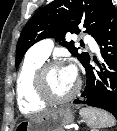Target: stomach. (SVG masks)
Instances as JSON below:
<instances>
[{
    "instance_id": "obj_1",
    "label": "stomach",
    "mask_w": 117,
    "mask_h": 131,
    "mask_svg": "<svg viewBox=\"0 0 117 131\" xmlns=\"http://www.w3.org/2000/svg\"><path fill=\"white\" fill-rule=\"evenodd\" d=\"M74 121L70 106H62L45 116L21 121L16 131H63V128Z\"/></svg>"
}]
</instances>
